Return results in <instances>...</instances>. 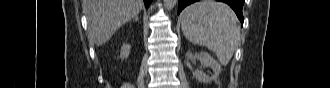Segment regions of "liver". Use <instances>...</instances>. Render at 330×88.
I'll return each mask as SVG.
<instances>
[{
    "mask_svg": "<svg viewBox=\"0 0 330 88\" xmlns=\"http://www.w3.org/2000/svg\"><path fill=\"white\" fill-rule=\"evenodd\" d=\"M142 8V0H83L89 40L97 46L105 44L122 25L135 18Z\"/></svg>",
    "mask_w": 330,
    "mask_h": 88,
    "instance_id": "liver-1",
    "label": "liver"
}]
</instances>
